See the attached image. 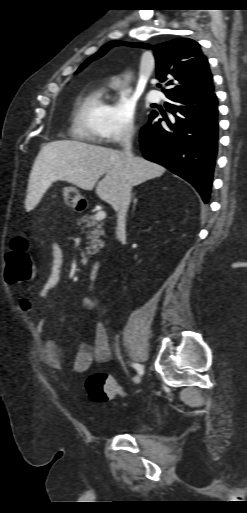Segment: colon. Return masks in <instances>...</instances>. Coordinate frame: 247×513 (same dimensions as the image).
<instances>
[{
    "label": "colon",
    "mask_w": 247,
    "mask_h": 513,
    "mask_svg": "<svg viewBox=\"0 0 247 513\" xmlns=\"http://www.w3.org/2000/svg\"><path fill=\"white\" fill-rule=\"evenodd\" d=\"M36 268L28 251V242L23 237L12 241L7 254L5 279L10 284L30 281L35 278ZM86 391L90 400L106 403L117 396H125V391L107 373L96 372L86 380Z\"/></svg>",
    "instance_id": "colon-1"
}]
</instances>
